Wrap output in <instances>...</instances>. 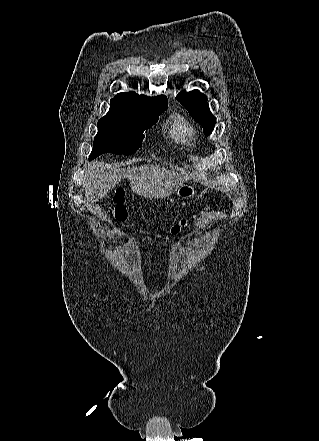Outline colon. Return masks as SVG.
Wrapping results in <instances>:
<instances>
[{
    "mask_svg": "<svg viewBox=\"0 0 319 441\" xmlns=\"http://www.w3.org/2000/svg\"><path fill=\"white\" fill-rule=\"evenodd\" d=\"M125 197L122 191L117 192L114 196V204L111 208V212L117 222H122L127 217V211L125 207ZM185 225V220L181 221L179 224L172 226L170 232L175 234L180 231L181 227Z\"/></svg>",
    "mask_w": 319,
    "mask_h": 441,
    "instance_id": "1",
    "label": "colon"
}]
</instances>
